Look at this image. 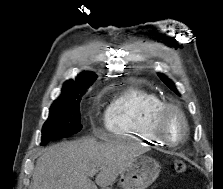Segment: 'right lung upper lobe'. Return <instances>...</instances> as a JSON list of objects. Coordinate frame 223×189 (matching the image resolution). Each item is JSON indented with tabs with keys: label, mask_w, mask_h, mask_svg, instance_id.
<instances>
[{
	"label": "right lung upper lobe",
	"mask_w": 223,
	"mask_h": 189,
	"mask_svg": "<svg viewBox=\"0 0 223 189\" xmlns=\"http://www.w3.org/2000/svg\"><path fill=\"white\" fill-rule=\"evenodd\" d=\"M97 76L91 72H84L75 80H68L64 83L60 97L70 96L85 90L96 80Z\"/></svg>",
	"instance_id": "1"
}]
</instances>
